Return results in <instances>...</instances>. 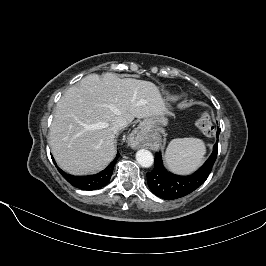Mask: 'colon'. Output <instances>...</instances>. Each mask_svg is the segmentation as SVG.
Wrapping results in <instances>:
<instances>
[{"instance_id":"obj_1","label":"colon","mask_w":266,"mask_h":266,"mask_svg":"<svg viewBox=\"0 0 266 266\" xmlns=\"http://www.w3.org/2000/svg\"><path fill=\"white\" fill-rule=\"evenodd\" d=\"M196 125L198 131L205 136H211L214 132V127L210 115L207 112H203L199 116Z\"/></svg>"}]
</instances>
